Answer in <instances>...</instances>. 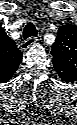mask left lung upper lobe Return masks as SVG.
<instances>
[{
	"mask_svg": "<svg viewBox=\"0 0 77 125\" xmlns=\"http://www.w3.org/2000/svg\"><path fill=\"white\" fill-rule=\"evenodd\" d=\"M53 67L66 65L77 67V26L62 25L51 50Z\"/></svg>",
	"mask_w": 77,
	"mask_h": 125,
	"instance_id": "1",
	"label": "left lung upper lobe"
}]
</instances>
